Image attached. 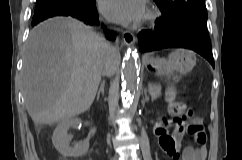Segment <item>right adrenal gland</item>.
Instances as JSON below:
<instances>
[{"instance_id": "2a0ac1e0", "label": "right adrenal gland", "mask_w": 242, "mask_h": 160, "mask_svg": "<svg viewBox=\"0 0 242 160\" xmlns=\"http://www.w3.org/2000/svg\"><path fill=\"white\" fill-rule=\"evenodd\" d=\"M104 87H105V81L103 80V81L101 82L100 88H99V90H98V92H97V95H96V99H97V100L99 99L100 94L104 95Z\"/></svg>"}]
</instances>
